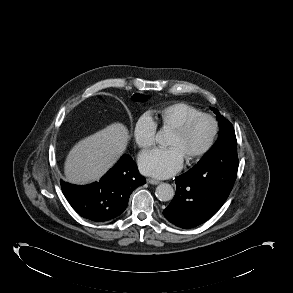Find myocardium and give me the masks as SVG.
<instances>
[{"instance_id":"obj_1","label":"myocardium","mask_w":293,"mask_h":293,"mask_svg":"<svg viewBox=\"0 0 293 293\" xmlns=\"http://www.w3.org/2000/svg\"><path fill=\"white\" fill-rule=\"evenodd\" d=\"M202 119H207L211 122V124H212L211 136H210L209 140L207 141V143L203 146V148H201L195 154L186 157V159L189 162H195V161L201 159L203 156H205L212 149V147L214 146V144L216 142L218 133H219V123L213 115L208 114V113H201V114H198V115L190 118L182 126L173 130V133L177 134L180 137H184Z\"/></svg>"}]
</instances>
